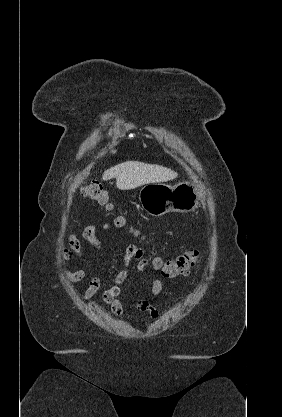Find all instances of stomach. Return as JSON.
<instances>
[{
    "instance_id": "obj_1",
    "label": "stomach",
    "mask_w": 282,
    "mask_h": 417,
    "mask_svg": "<svg viewBox=\"0 0 282 417\" xmlns=\"http://www.w3.org/2000/svg\"><path fill=\"white\" fill-rule=\"evenodd\" d=\"M139 200L144 211L152 217H161L166 213H190L199 204L197 190L188 182H179L175 186L165 182H150L142 186Z\"/></svg>"
}]
</instances>
